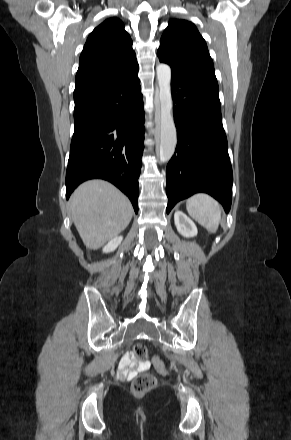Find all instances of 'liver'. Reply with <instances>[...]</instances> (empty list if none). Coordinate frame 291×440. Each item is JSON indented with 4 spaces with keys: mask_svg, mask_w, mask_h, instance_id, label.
<instances>
[{
    "mask_svg": "<svg viewBox=\"0 0 291 440\" xmlns=\"http://www.w3.org/2000/svg\"><path fill=\"white\" fill-rule=\"evenodd\" d=\"M73 222L85 246L97 250L123 231L133 215L129 199L103 180L81 184L70 197Z\"/></svg>",
    "mask_w": 291,
    "mask_h": 440,
    "instance_id": "obj_1",
    "label": "liver"
}]
</instances>
